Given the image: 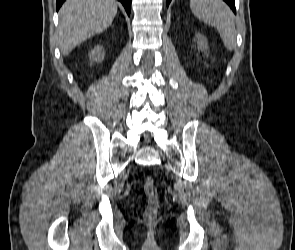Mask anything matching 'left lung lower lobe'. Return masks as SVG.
<instances>
[{"label": "left lung lower lobe", "mask_w": 295, "mask_h": 250, "mask_svg": "<svg viewBox=\"0 0 295 250\" xmlns=\"http://www.w3.org/2000/svg\"><path fill=\"white\" fill-rule=\"evenodd\" d=\"M224 1L231 7V9L233 10V12L236 13L234 0H224ZM166 2H167V6H168L169 3L171 2V0H166Z\"/></svg>", "instance_id": "left-lung-lower-lobe-1"}]
</instances>
